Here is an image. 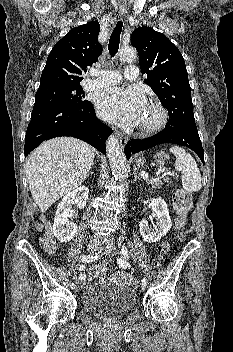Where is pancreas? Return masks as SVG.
Listing matches in <instances>:
<instances>
[{
	"mask_svg": "<svg viewBox=\"0 0 233 352\" xmlns=\"http://www.w3.org/2000/svg\"><path fill=\"white\" fill-rule=\"evenodd\" d=\"M145 180H146L149 184H151L152 188H158V189H160V188H161V185L163 184L162 182H154V181H152L151 179H147V178H145Z\"/></svg>",
	"mask_w": 233,
	"mask_h": 352,
	"instance_id": "cf45deb5",
	"label": "pancreas"
}]
</instances>
